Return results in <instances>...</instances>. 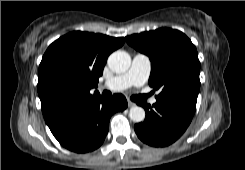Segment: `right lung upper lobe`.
Returning a JSON list of instances; mask_svg holds the SVG:
<instances>
[{
  "instance_id": "cb5924a9",
  "label": "right lung upper lobe",
  "mask_w": 245,
  "mask_h": 170,
  "mask_svg": "<svg viewBox=\"0 0 245 170\" xmlns=\"http://www.w3.org/2000/svg\"><path fill=\"white\" fill-rule=\"evenodd\" d=\"M123 44L124 38L75 31L48 47L39 66L38 94L49 127L100 96L90 90L97 86L110 53Z\"/></svg>"
}]
</instances>
